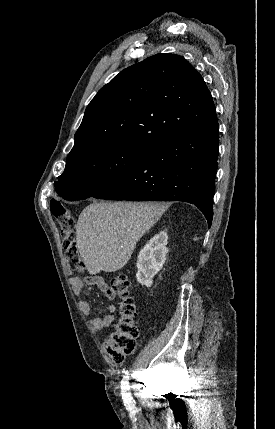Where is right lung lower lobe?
Listing matches in <instances>:
<instances>
[{
  "label": "right lung lower lobe",
  "instance_id": "1",
  "mask_svg": "<svg viewBox=\"0 0 275 429\" xmlns=\"http://www.w3.org/2000/svg\"><path fill=\"white\" fill-rule=\"evenodd\" d=\"M218 148L217 121L177 132L151 147L138 167L92 197L189 202L201 209L210 227Z\"/></svg>",
  "mask_w": 275,
  "mask_h": 429
}]
</instances>
